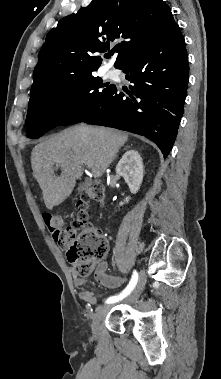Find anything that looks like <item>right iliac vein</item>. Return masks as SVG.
Listing matches in <instances>:
<instances>
[{"label":"right iliac vein","instance_id":"right-iliac-vein-1","mask_svg":"<svg viewBox=\"0 0 221 379\" xmlns=\"http://www.w3.org/2000/svg\"><path fill=\"white\" fill-rule=\"evenodd\" d=\"M145 282H146L145 274L141 273V276L139 278V281L136 287L134 288L132 293L126 298L127 302H133L135 299L138 298V296L140 295L141 291L144 288ZM111 307H112L111 305H104L98 308L96 314L93 317V322H92V331L94 334H96L98 330L100 321L108 313Z\"/></svg>","mask_w":221,"mask_h":379}]
</instances>
